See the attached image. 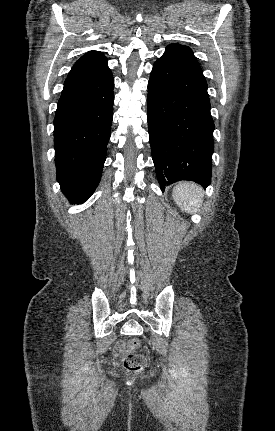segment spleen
Instances as JSON below:
<instances>
[{"label":"spleen","instance_id":"1","mask_svg":"<svg viewBox=\"0 0 275 431\" xmlns=\"http://www.w3.org/2000/svg\"><path fill=\"white\" fill-rule=\"evenodd\" d=\"M204 191L193 182H181L173 189L172 196L181 210L186 213L197 212L202 205Z\"/></svg>","mask_w":275,"mask_h":431}]
</instances>
